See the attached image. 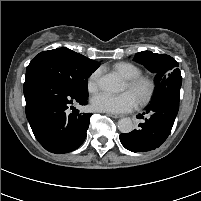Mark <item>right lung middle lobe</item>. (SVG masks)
<instances>
[{
    "label": "right lung middle lobe",
    "mask_w": 201,
    "mask_h": 201,
    "mask_svg": "<svg viewBox=\"0 0 201 201\" xmlns=\"http://www.w3.org/2000/svg\"><path fill=\"white\" fill-rule=\"evenodd\" d=\"M96 69L78 63L67 48L43 51L30 62L26 77L44 75L65 87L72 95L87 99L88 77Z\"/></svg>",
    "instance_id": "right-lung-middle-lobe-1"
}]
</instances>
